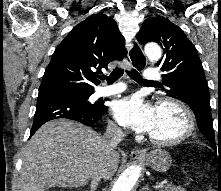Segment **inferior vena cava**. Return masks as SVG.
Wrapping results in <instances>:
<instances>
[{"label":"inferior vena cava","mask_w":221,"mask_h":191,"mask_svg":"<svg viewBox=\"0 0 221 191\" xmlns=\"http://www.w3.org/2000/svg\"><path fill=\"white\" fill-rule=\"evenodd\" d=\"M123 136L124 133L119 127L114 126L107 129L106 133L102 137V141L104 143L105 148V154L107 156H112L116 153L115 148L122 141ZM105 176L106 169L105 166H102V168L92 176L91 191H95L100 179L105 178Z\"/></svg>","instance_id":"1"}]
</instances>
